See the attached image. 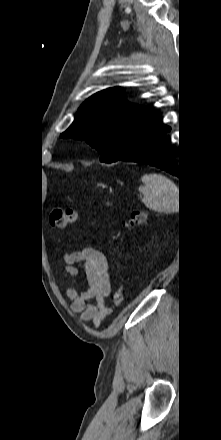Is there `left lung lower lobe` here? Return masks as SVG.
<instances>
[{
  "label": "left lung lower lobe",
  "instance_id": "1",
  "mask_svg": "<svg viewBox=\"0 0 221 440\" xmlns=\"http://www.w3.org/2000/svg\"><path fill=\"white\" fill-rule=\"evenodd\" d=\"M168 131L170 128L162 124L160 112L149 111L133 130L126 151L118 160L149 164L181 178L180 160L178 164L165 138Z\"/></svg>",
  "mask_w": 221,
  "mask_h": 440
}]
</instances>
